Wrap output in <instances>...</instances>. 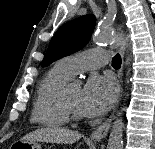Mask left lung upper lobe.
I'll return each instance as SVG.
<instances>
[{"instance_id":"obj_1","label":"left lung upper lobe","mask_w":155,"mask_h":149,"mask_svg":"<svg viewBox=\"0 0 155 149\" xmlns=\"http://www.w3.org/2000/svg\"><path fill=\"white\" fill-rule=\"evenodd\" d=\"M95 27V17L86 15L63 24L50 41L41 66L77 52L89 41Z\"/></svg>"}]
</instances>
